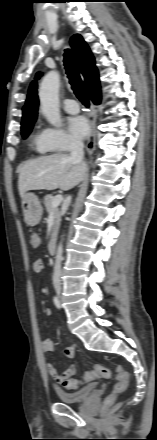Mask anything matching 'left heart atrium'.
<instances>
[{
  "mask_svg": "<svg viewBox=\"0 0 157 440\" xmlns=\"http://www.w3.org/2000/svg\"><path fill=\"white\" fill-rule=\"evenodd\" d=\"M67 124L70 133L78 139H86L90 135V125L82 116L69 117Z\"/></svg>",
  "mask_w": 157,
  "mask_h": 440,
  "instance_id": "obj_1",
  "label": "left heart atrium"
}]
</instances>
